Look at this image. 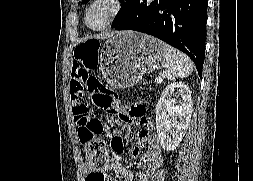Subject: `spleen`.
I'll use <instances>...</instances> for the list:
<instances>
[{"label": "spleen", "instance_id": "1", "mask_svg": "<svg viewBox=\"0 0 253 181\" xmlns=\"http://www.w3.org/2000/svg\"><path fill=\"white\" fill-rule=\"evenodd\" d=\"M165 76L169 80L184 78L193 72L192 61L183 53L164 44V64Z\"/></svg>", "mask_w": 253, "mask_h": 181}]
</instances>
